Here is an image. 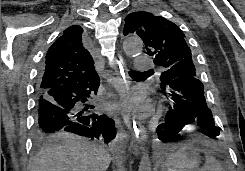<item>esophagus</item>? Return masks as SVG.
I'll list each match as a JSON object with an SVG mask.
<instances>
[{"label":"esophagus","mask_w":245,"mask_h":171,"mask_svg":"<svg viewBox=\"0 0 245 171\" xmlns=\"http://www.w3.org/2000/svg\"><path fill=\"white\" fill-rule=\"evenodd\" d=\"M119 68L116 69V89L119 93L120 101L121 103L125 99V96L129 90V87L131 85L130 78L128 76V69L123 61V59L120 57V61L118 62ZM123 120L125 125L127 126L130 133L133 135V137L138 140L142 141L147 138L146 129L145 127L138 121L132 118V116L129 113H126L123 109H121ZM130 148L133 150H136V146L131 144Z\"/></svg>","instance_id":"esophagus-1"}]
</instances>
